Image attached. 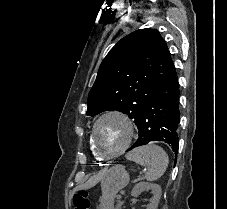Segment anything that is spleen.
<instances>
[{
  "label": "spleen",
  "instance_id": "3e777b00",
  "mask_svg": "<svg viewBox=\"0 0 227 209\" xmlns=\"http://www.w3.org/2000/svg\"><path fill=\"white\" fill-rule=\"evenodd\" d=\"M126 159L146 167L145 179L147 181H157V179H160L164 175L169 163V157L165 151L158 147V145H153V143L152 145L136 147V149L127 153Z\"/></svg>",
  "mask_w": 227,
  "mask_h": 209
}]
</instances>
